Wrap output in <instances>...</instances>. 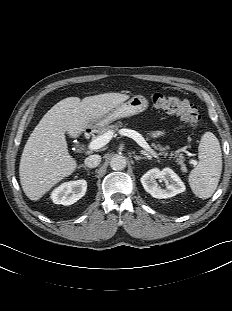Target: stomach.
Listing matches in <instances>:
<instances>
[{
  "mask_svg": "<svg viewBox=\"0 0 232 311\" xmlns=\"http://www.w3.org/2000/svg\"><path fill=\"white\" fill-rule=\"evenodd\" d=\"M148 107V100L142 95H135L128 101L121 103L104 116L92 121L88 128L93 132H99L113 121L139 114Z\"/></svg>",
  "mask_w": 232,
  "mask_h": 311,
  "instance_id": "obj_1",
  "label": "stomach"
}]
</instances>
